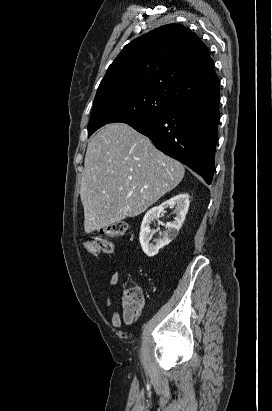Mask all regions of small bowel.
Returning a JSON list of instances; mask_svg holds the SVG:
<instances>
[{"instance_id":"c3829d8e","label":"small bowel","mask_w":272,"mask_h":411,"mask_svg":"<svg viewBox=\"0 0 272 411\" xmlns=\"http://www.w3.org/2000/svg\"><path fill=\"white\" fill-rule=\"evenodd\" d=\"M119 282V273L117 271L113 272L109 278V285L115 287ZM105 305L110 308L112 306V301L109 295L105 297ZM111 325L114 328H119L121 326V315L118 311L112 313Z\"/></svg>"}]
</instances>
